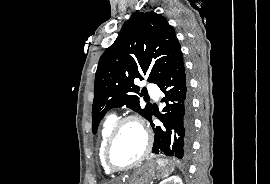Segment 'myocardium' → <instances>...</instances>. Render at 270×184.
Listing matches in <instances>:
<instances>
[{
  "instance_id": "f54148a6",
  "label": "myocardium",
  "mask_w": 270,
  "mask_h": 184,
  "mask_svg": "<svg viewBox=\"0 0 270 184\" xmlns=\"http://www.w3.org/2000/svg\"><path fill=\"white\" fill-rule=\"evenodd\" d=\"M129 122H134V123L138 124L140 126V128L142 129L144 136H145V148H144L143 153L140 155V157L138 159H136L135 161H133L132 163H130L126 166H116L110 160V151H111L113 143H114L120 129L123 127V125H125L126 123H129ZM152 143H153L152 135H151L149 129L147 128L146 124L144 123V121L140 117L135 116V115L124 116L115 122V124H114L108 138H107V141H106V144L104 147V151H103L104 163H105L106 167L112 172H121V171L129 170V169L139 165L141 162H143L148 157V155L150 154L151 149H152Z\"/></svg>"
}]
</instances>
